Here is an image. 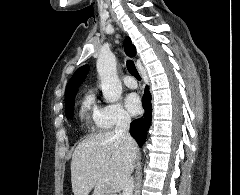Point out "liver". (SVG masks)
<instances>
[{"label": "liver", "mask_w": 240, "mask_h": 195, "mask_svg": "<svg viewBox=\"0 0 240 195\" xmlns=\"http://www.w3.org/2000/svg\"><path fill=\"white\" fill-rule=\"evenodd\" d=\"M136 141L127 145L115 137L114 131L89 135L73 151L71 183L74 195H89L98 189L99 195L122 191L130 177L137 157Z\"/></svg>", "instance_id": "6515ba94"}]
</instances>
